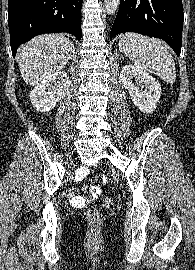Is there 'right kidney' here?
Returning <instances> with one entry per match:
<instances>
[{
    "mask_svg": "<svg viewBox=\"0 0 195 270\" xmlns=\"http://www.w3.org/2000/svg\"><path fill=\"white\" fill-rule=\"evenodd\" d=\"M69 77L64 71L42 79L30 93L33 107L40 112H48L56 106L66 91Z\"/></svg>",
    "mask_w": 195,
    "mask_h": 270,
    "instance_id": "obj_1",
    "label": "right kidney"
}]
</instances>
